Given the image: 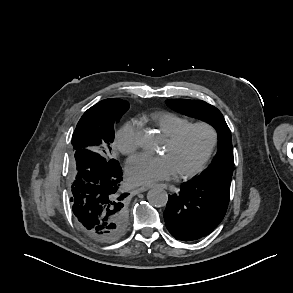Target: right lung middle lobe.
I'll return each mask as SVG.
<instances>
[{
	"label": "right lung middle lobe",
	"mask_w": 293,
	"mask_h": 293,
	"mask_svg": "<svg viewBox=\"0 0 293 293\" xmlns=\"http://www.w3.org/2000/svg\"><path fill=\"white\" fill-rule=\"evenodd\" d=\"M129 104L121 99L102 100L88 109L78 122L72 136L74 151L78 149H94L103 143V150L100 154L110 158L108 150L111 151L109 144L114 140V123L127 110Z\"/></svg>",
	"instance_id": "right-lung-middle-lobe-1"
}]
</instances>
